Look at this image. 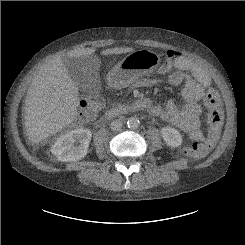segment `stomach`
Returning a JSON list of instances; mask_svg holds the SVG:
<instances>
[{
  "mask_svg": "<svg viewBox=\"0 0 245 245\" xmlns=\"http://www.w3.org/2000/svg\"><path fill=\"white\" fill-rule=\"evenodd\" d=\"M160 64V57L150 50H137L128 54L110 71L108 80L116 88H123L138 78L152 73Z\"/></svg>",
  "mask_w": 245,
  "mask_h": 245,
  "instance_id": "0dacf381",
  "label": "stomach"
}]
</instances>
